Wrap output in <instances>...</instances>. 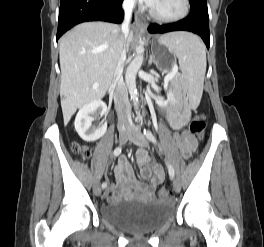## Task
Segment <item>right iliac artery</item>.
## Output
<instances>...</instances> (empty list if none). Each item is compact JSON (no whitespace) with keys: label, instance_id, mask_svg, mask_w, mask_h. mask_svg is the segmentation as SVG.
I'll list each match as a JSON object with an SVG mask.
<instances>
[{"label":"right iliac artery","instance_id":"right-iliac-artery-1","mask_svg":"<svg viewBox=\"0 0 264 247\" xmlns=\"http://www.w3.org/2000/svg\"><path fill=\"white\" fill-rule=\"evenodd\" d=\"M121 151H122V148L121 147H117V148H115V150L113 152V155L115 157H117V156L120 155ZM106 187H107V183L106 182L102 183V188L105 189Z\"/></svg>","mask_w":264,"mask_h":247}]
</instances>
